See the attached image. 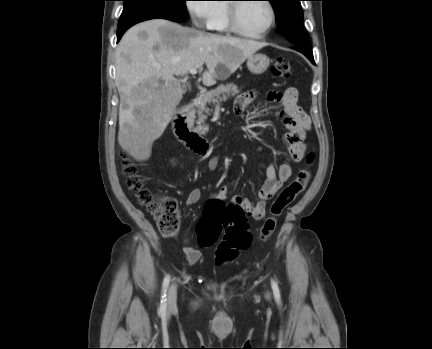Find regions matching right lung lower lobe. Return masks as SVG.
Returning a JSON list of instances; mask_svg holds the SVG:
<instances>
[{
    "label": "right lung lower lobe",
    "mask_w": 432,
    "mask_h": 349,
    "mask_svg": "<svg viewBox=\"0 0 432 349\" xmlns=\"http://www.w3.org/2000/svg\"><path fill=\"white\" fill-rule=\"evenodd\" d=\"M145 20H148V19H145ZM145 20H139V21H135L133 23H130V24H127L124 26H120L119 30L117 31V42L121 39L122 35L126 32L127 29H129L134 24L145 21Z\"/></svg>",
    "instance_id": "obj_1"
}]
</instances>
